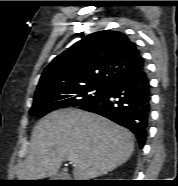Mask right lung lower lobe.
<instances>
[{
    "label": "right lung lower lobe",
    "mask_w": 178,
    "mask_h": 186,
    "mask_svg": "<svg viewBox=\"0 0 178 186\" xmlns=\"http://www.w3.org/2000/svg\"><path fill=\"white\" fill-rule=\"evenodd\" d=\"M150 100L149 79L143 64L116 77L101 96L79 108L128 128L135 134L140 147H143L150 116Z\"/></svg>",
    "instance_id": "obj_1"
}]
</instances>
